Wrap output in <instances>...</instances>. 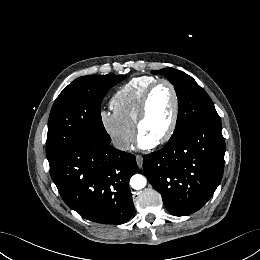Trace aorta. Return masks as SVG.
<instances>
[{"instance_id": "1", "label": "aorta", "mask_w": 260, "mask_h": 260, "mask_svg": "<svg viewBox=\"0 0 260 260\" xmlns=\"http://www.w3.org/2000/svg\"><path fill=\"white\" fill-rule=\"evenodd\" d=\"M147 180L141 174H135L130 179V185L133 189L139 190L146 186Z\"/></svg>"}]
</instances>
